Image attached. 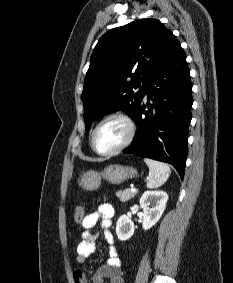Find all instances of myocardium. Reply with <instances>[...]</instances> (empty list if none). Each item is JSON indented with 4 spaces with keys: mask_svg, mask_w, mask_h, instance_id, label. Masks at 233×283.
I'll return each instance as SVG.
<instances>
[{
    "mask_svg": "<svg viewBox=\"0 0 233 283\" xmlns=\"http://www.w3.org/2000/svg\"><path fill=\"white\" fill-rule=\"evenodd\" d=\"M112 119H119L121 121H123L127 127V135L126 138L124 139V141L115 149L108 151V152H101L96 148L95 145V137H96V133L99 130V128L107 121L112 120ZM136 123L134 121V119L126 112H113L108 114L107 116H105L103 119H101L97 125L95 126V128L92 131V135H91V147L92 149L99 155L101 156H113L116 155L120 152H122L123 150H125L133 141L135 134H136Z\"/></svg>",
    "mask_w": 233,
    "mask_h": 283,
    "instance_id": "myocardium-1",
    "label": "myocardium"
}]
</instances>
